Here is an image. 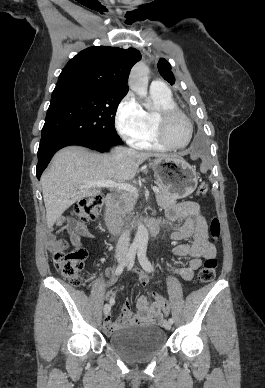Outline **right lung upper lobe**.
<instances>
[{
	"mask_svg": "<svg viewBox=\"0 0 265 388\" xmlns=\"http://www.w3.org/2000/svg\"><path fill=\"white\" fill-rule=\"evenodd\" d=\"M141 59L134 48L93 46L72 58L62 70L53 93L73 90L128 92V75Z\"/></svg>",
	"mask_w": 265,
	"mask_h": 388,
	"instance_id": "right-lung-upper-lobe-1",
	"label": "right lung upper lobe"
}]
</instances>
